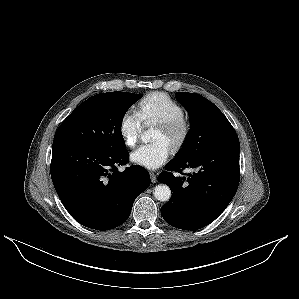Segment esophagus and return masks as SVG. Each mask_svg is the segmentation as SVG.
<instances>
[{
	"label": "esophagus",
	"mask_w": 299,
	"mask_h": 299,
	"mask_svg": "<svg viewBox=\"0 0 299 299\" xmlns=\"http://www.w3.org/2000/svg\"><path fill=\"white\" fill-rule=\"evenodd\" d=\"M150 177H151L152 183L157 182V177H156V174L154 172H150Z\"/></svg>",
	"instance_id": "obj_1"
}]
</instances>
